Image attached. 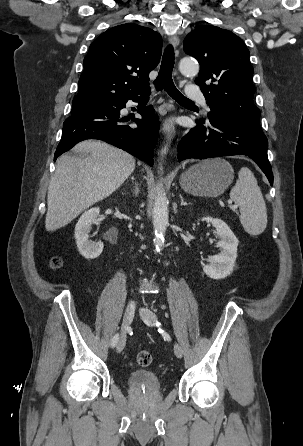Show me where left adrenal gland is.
Returning a JSON list of instances; mask_svg holds the SVG:
<instances>
[{"instance_id": "a2214340", "label": "left adrenal gland", "mask_w": 303, "mask_h": 446, "mask_svg": "<svg viewBox=\"0 0 303 446\" xmlns=\"http://www.w3.org/2000/svg\"><path fill=\"white\" fill-rule=\"evenodd\" d=\"M179 196H180V200H181V206H186V205H190L191 204V203L185 202L181 194Z\"/></svg>"}]
</instances>
